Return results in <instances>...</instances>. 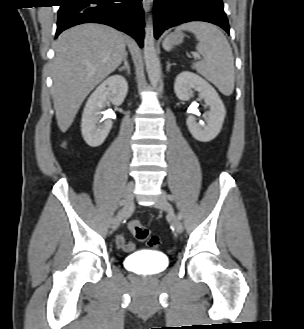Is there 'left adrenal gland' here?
Returning a JSON list of instances; mask_svg holds the SVG:
<instances>
[{
    "instance_id": "1",
    "label": "left adrenal gland",
    "mask_w": 304,
    "mask_h": 329,
    "mask_svg": "<svg viewBox=\"0 0 304 329\" xmlns=\"http://www.w3.org/2000/svg\"><path fill=\"white\" fill-rule=\"evenodd\" d=\"M172 65H175V64H174V63L171 64L169 61L167 62V67H166V71H167V72L170 71V67H171Z\"/></svg>"
}]
</instances>
